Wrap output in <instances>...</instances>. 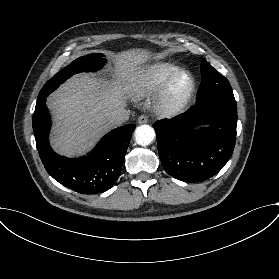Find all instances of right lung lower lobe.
Here are the masks:
<instances>
[{
  "label": "right lung lower lobe",
  "mask_w": 279,
  "mask_h": 279,
  "mask_svg": "<svg viewBox=\"0 0 279 279\" xmlns=\"http://www.w3.org/2000/svg\"><path fill=\"white\" fill-rule=\"evenodd\" d=\"M45 99H37L32 124L46 171L60 184L80 194H97L111 188L119 178L135 124L111 131L87 156L74 159L63 157L49 145L51 121Z\"/></svg>",
  "instance_id": "obj_1"
}]
</instances>
